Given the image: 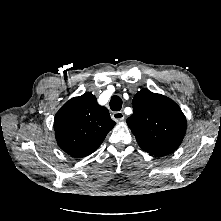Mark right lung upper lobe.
<instances>
[{"mask_svg":"<svg viewBox=\"0 0 221 221\" xmlns=\"http://www.w3.org/2000/svg\"><path fill=\"white\" fill-rule=\"evenodd\" d=\"M114 125L108 109L89 92L65 103L54 119L59 147L77 158L93 153Z\"/></svg>","mask_w":221,"mask_h":221,"instance_id":"1","label":"right lung upper lobe"}]
</instances>
